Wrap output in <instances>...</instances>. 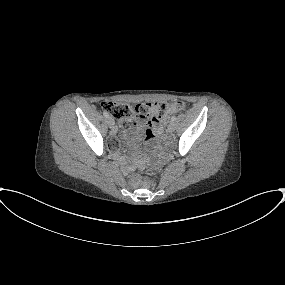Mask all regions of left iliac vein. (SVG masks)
<instances>
[{
  "instance_id": "4c4485c4",
  "label": "left iliac vein",
  "mask_w": 285,
  "mask_h": 285,
  "mask_svg": "<svg viewBox=\"0 0 285 285\" xmlns=\"http://www.w3.org/2000/svg\"><path fill=\"white\" fill-rule=\"evenodd\" d=\"M174 129H175L174 123H173V122H170V124H169L168 127H167V130H168L169 132H173Z\"/></svg>"
}]
</instances>
